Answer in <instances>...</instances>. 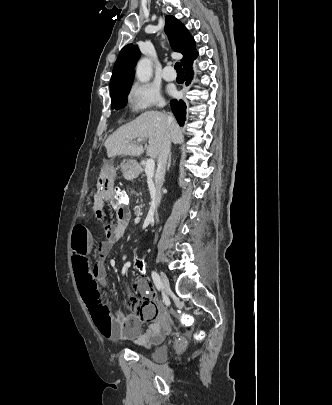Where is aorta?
I'll list each match as a JSON object with an SVG mask.
<instances>
[{"instance_id": "1", "label": "aorta", "mask_w": 332, "mask_h": 405, "mask_svg": "<svg viewBox=\"0 0 332 405\" xmlns=\"http://www.w3.org/2000/svg\"><path fill=\"white\" fill-rule=\"evenodd\" d=\"M152 62L149 58H142L138 61L136 66V78L141 83L148 82L152 77Z\"/></svg>"}]
</instances>
